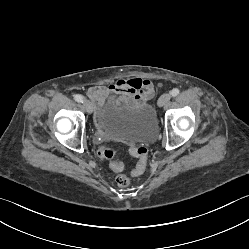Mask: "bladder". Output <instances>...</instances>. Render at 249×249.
Instances as JSON below:
<instances>
[{"label": "bladder", "instance_id": "bladder-1", "mask_svg": "<svg viewBox=\"0 0 249 249\" xmlns=\"http://www.w3.org/2000/svg\"><path fill=\"white\" fill-rule=\"evenodd\" d=\"M96 123L101 130L129 143H149L157 136V119L150 103L131 107L111 95L102 105Z\"/></svg>", "mask_w": 249, "mask_h": 249}]
</instances>
